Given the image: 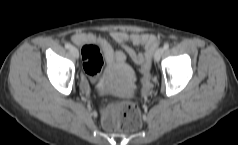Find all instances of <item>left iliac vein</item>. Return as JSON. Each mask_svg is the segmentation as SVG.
I'll use <instances>...</instances> for the list:
<instances>
[{"instance_id": "4c4485c4", "label": "left iliac vein", "mask_w": 238, "mask_h": 145, "mask_svg": "<svg viewBox=\"0 0 238 145\" xmlns=\"http://www.w3.org/2000/svg\"><path fill=\"white\" fill-rule=\"evenodd\" d=\"M163 53H164V48H162V47H160L156 50L155 55H154V59H155L156 62H158L160 60Z\"/></svg>"}]
</instances>
